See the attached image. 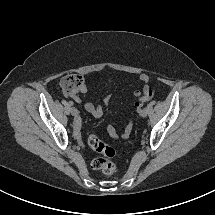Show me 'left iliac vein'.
I'll return each instance as SVG.
<instances>
[{"instance_id": "left-iliac-vein-1", "label": "left iliac vein", "mask_w": 215, "mask_h": 215, "mask_svg": "<svg viewBox=\"0 0 215 215\" xmlns=\"http://www.w3.org/2000/svg\"><path fill=\"white\" fill-rule=\"evenodd\" d=\"M140 115H141L142 117H146V116H147V110H146V109H143V112L140 113Z\"/></svg>"}]
</instances>
